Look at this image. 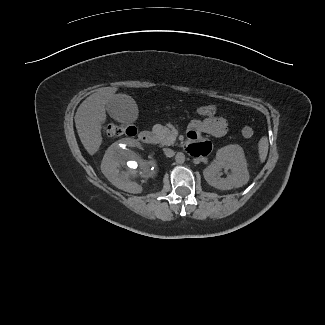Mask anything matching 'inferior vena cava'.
I'll return each instance as SVG.
<instances>
[{
    "mask_svg": "<svg viewBox=\"0 0 325 325\" xmlns=\"http://www.w3.org/2000/svg\"><path fill=\"white\" fill-rule=\"evenodd\" d=\"M163 151L166 157H173L175 155V152L172 149L164 148Z\"/></svg>",
    "mask_w": 325,
    "mask_h": 325,
    "instance_id": "inferior-vena-cava-1",
    "label": "inferior vena cava"
}]
</instances>
